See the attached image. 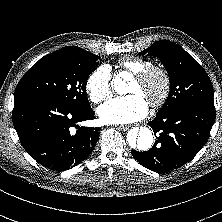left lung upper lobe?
Returning <instances> with one entry per match:
<instances>
[{"label":"left lung upper lobe","mask_w":222,"mask_h":222,"mask_svg":"<svg viewBox=\"0 0 222 222\" xmlns=\"http://www.w3.org/2000/svg\"><path fill=\"white\" fill-rule=\"evenodd\" d=\"M140 54L160 58L169 75L170 92L158 114L189 102L214 103L213 87L206 71L179 45L161 40Z\"/></svg>","instance_id":"left-lung-upper-lobe-1"}]
</instances>
